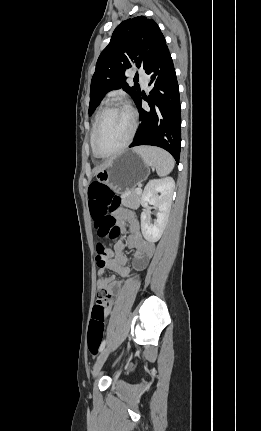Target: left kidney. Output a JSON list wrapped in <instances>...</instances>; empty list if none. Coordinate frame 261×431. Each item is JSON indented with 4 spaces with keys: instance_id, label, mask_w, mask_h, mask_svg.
Listing matches in <instances>:
<instances>
[{
    "instance_id": "left-kidney-1",
    "label": "left kidney",
    "mask_w": 261,
    "mask_h": 431,
    "mask_svg": "<svg viewBox=\"0 0 261 431\" xmlns=\"http://www.w3.org/2000/svg\"><path fill=\"white\" fill-rule=\"evenodd\" d=\"M175 182L171 177L159 180H151L144 188L141 203L143 207L148 204L157 208V219L153 224L150 223L147 212L141 214V230L144 238L149 242H157L166 227ZM160 195H159V194Z\"/></svg>"
}]
</instances>
